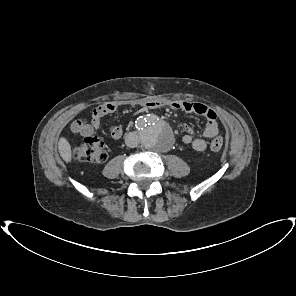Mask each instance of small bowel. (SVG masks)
I'll return each mask as SVG.
<instances>
[{
	"label": "small bowel",
	"instance_id": "small-bowel-1",
	"mask_svg": "<svg viewBox=\"0 0 296 296\" xmlns=\"http://www.w3.org/2000/svg\"><path fill=\"white\" fill-rule=\"evenodd\" d=\"M142 105L149 109L168 106L176 110L195 113L205 117L207 122L202 132V137L194 138L192 129L189 126H185V133L181 137V143L185 146H190L195 151H204L207 148V139L215 137L219 132L217 114L212 108L205 104L182 100H150ZM118 107L117 102H107L99 105L92 111L90 121L86 119L75 120L71 124V131L85 137L92 135L95 130H99L103 127L102 119L114 113ZM107 132L114 140H119L123 135V130L118 125L108 126Z\"/></svg>",
	"mask_w": 296,
	"mask_h": 296
}]
</instances>
